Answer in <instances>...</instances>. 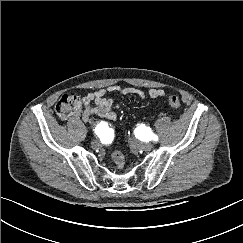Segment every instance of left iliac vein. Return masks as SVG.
Instances as JSON below:
<instances>
[{
    "label": "left iliac vein",
    "mask_w": 243,
    "mask_h": 243,
    "mask_svg": "<svg viewBox=\"0 0 243 243\" xmlns=\"http://www.w3.org/2000/svg\"><path fill=\"white\" fill-rule=\"evenodd\" d=\"M138 147L143 150H151L153 148V144L151 143H139Z\"/></svg>",
    "instance_id": "left-iliac-vein-1"
}]
</instances>
